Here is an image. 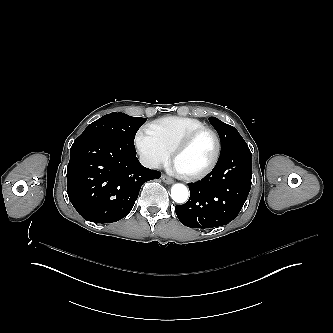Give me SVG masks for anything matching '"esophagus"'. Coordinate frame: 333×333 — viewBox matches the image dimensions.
Segmentation results:
<instances>
[{
	"label": "esophagus",
	"instance_id": "34e87169",
	"mask_svg": "<svg viewBox=\"0 0 333 333\" xmlns=\"http://www.w3.org/2000/svg\"><path fill=\"white\" fill-rule=\"evenodd\" d=\"M161 179L166 184H172L174 182L173 179H171L170 177H168L165 174H162Z\"/></svg>",
	"mask_w": 333,
	"mask_h": 333
}]
</instances>
